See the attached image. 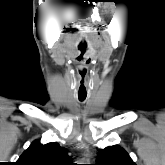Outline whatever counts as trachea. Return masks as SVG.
I'll list each match as a JSON object with an SVG mask.
<instances>
[{
	"instance_id": "1",
	"label": "trachea",
	"mask_w": 165,
	"mask_h": 165,
	"mask_svg": "<svg viewBox=\"0 0 165 165\" xmlns=\"http://www.w3.org/2000/svg\"><path fill=\"white\" fill-rule=\"evenodd\" d=\"M84 100V98H80V101H83Z\"/></svg>"
}]
</instances>
